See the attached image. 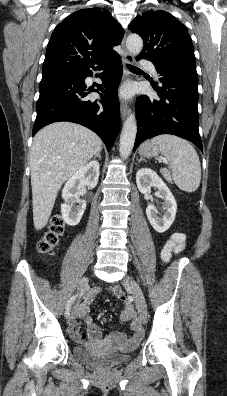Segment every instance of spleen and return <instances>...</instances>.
I'll list each match as a JSON object with an SVG mask.
<instances>
[{"mask_svg":"<svg viewBox=\"0 0 227 396\" xmlns=\"http://www.w3.org/2000/svg\"><path fill=\"white\" fill-rule=\"evenodd\" d=\"M170 161L169 169L175 184L185 192H194L201 181L199 156L186 140L164 134L151 140Z\"/></svg>","mask_w":227,"mask_h":396,"instance_id":"spleen-1","label":"spleen"}]
</instances>
